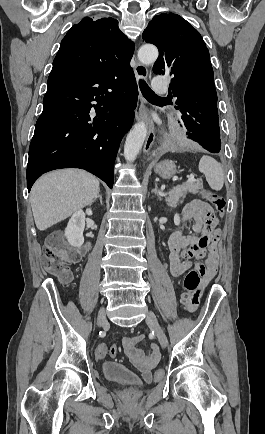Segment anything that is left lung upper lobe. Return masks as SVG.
<instances>
[{"label":"left lung upper lobe","mask_w":265,"mask_h":434,"mask_svg":"<svg viewBox=\"0 0 265 434\" xmlns=\"http://www.w3.org/2000/svg\"><path fill=\"white\" fill-rule=\"evenodd\" d=\"M143 39L159 50L154 73L172 76L179 122L187 129L220 130L214 73L200 33L181 16L163 13L149 22Z\"/></svg>","instance_id":"5c2ea615"}]
</instances>
